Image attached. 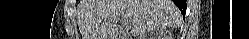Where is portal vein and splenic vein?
<instances>
[{
	"mask_svg": "<svg viewBox=\"0 0 249 39\" xmlns=\"http://www.w3.org/2000/svg\"><path fill=\"white\" fill-rule=\"evenodd\" d=\"M124 23H125L126 27H128V24H127V22H126V21H124Z\"/></svg>",
	"mask_w": 249,
	"mask_h": 39,
	"instance_id": "portal-vein-and-splenic-vein-1",
	"label": "portal vein and splenic vein"
}]
</instances>
